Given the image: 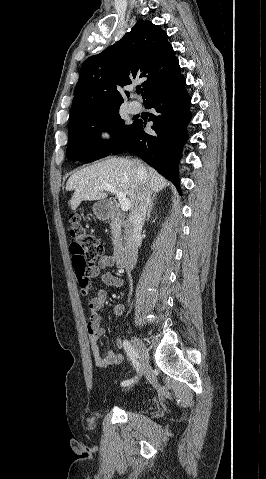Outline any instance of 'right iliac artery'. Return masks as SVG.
Masks as SVG:
<instances>
[{
	"label": "right iliac artery",
	"mask_w": 266,
	"mask_h": 479,
	"mask_svg": "<svg viewBox=\"0 0 266 479\" xmlns=\"http://www.w3.org/2000/svg\"><path fill=\"white\" fill-rule=\"evenodd\" d=\"M123 347H124V350L127 354V356L129 357V359L132 361L134 367L136 368L137 372L139 371V362L137 361L136 359V352H135V349L134 347L132 346V344L130 343V341L128 340H124L123 341ZM134 382V379H130V380H125L121 383L122 386H129L131 385L132 383Z\"/></svg>",
	"instance_id": "right-iliac-artery-1"
}]
</instances>
